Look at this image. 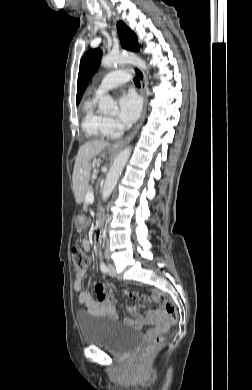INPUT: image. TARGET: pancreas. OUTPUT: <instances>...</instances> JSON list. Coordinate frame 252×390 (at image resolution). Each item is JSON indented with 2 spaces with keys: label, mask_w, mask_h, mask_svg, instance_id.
<instances>
[{
  "label": "pancreas",
  "mask_w": 252,
  "mask_h": 390,
  "mask_svg": "<svg viewBox=\"0 0 252 390\" xmlns=\"http://www.w3.org/2000/svg\"><path fill=\"white\" fill-rule=\"evenodd\" d=\"M81 205H84V206H83V210H86V207L88 206V204L85 203V202H81Z\"/></svg>",
  "instance_id": "obj_1"
}]
</instances>
